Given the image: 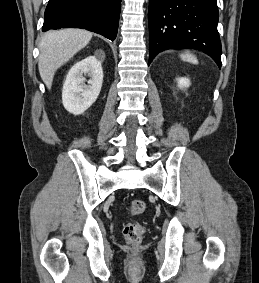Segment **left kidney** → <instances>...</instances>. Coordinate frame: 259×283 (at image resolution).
Returning <instances> with one entry per match:
<instances>
[{
    "instance_id": "obj_1",
    "label": "left kidney",
    "mask_w": 259,
    "mask_h": 283,
    "mask_svg": "<svg viewBox=\"0 0 259 283\" xmlns=\"http://www.w3.org/2000/svg\"><path fill=\"white\" fill-rule=\"evenodd\" d=\"M177 80V83H178V87L180 89H184V88H187L190 86V80L186 77H179L176 79Z\"/></svg>"
}]
</instances>
